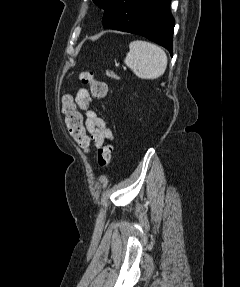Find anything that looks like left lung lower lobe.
Returning <instances> with one entry per match:
<instances>
[{"label": "left lung lower lobe", "mask_w": 240, "mask_h": 287, "mask_svg": "<svg viewBox=\"0 0 240 287\" xmlns=\"http://www.w3.org/2000/svg\"><path fill=\"white\" fill-rule=\"evenodd\" d=\"M171 0H109L104 8V28L138 34L165 47L172 55L174 18Z\"/></svg>", "instance_id": "obj_1"}]
</instances>
